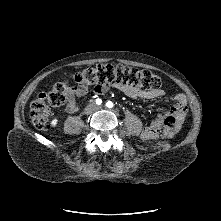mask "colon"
<instances>
[{
  "label": "colon",
  "instance_id": "obj_1",
  "mask_svg": "<svg viewBox=\"0 0 221 221\" xmlns=\"http://www.w3.org/2000/svg\"><path fill=\"white\" fill-rule=\"evenodd\" d=\"M121 83L143 91L159 90L162 80L146 69L125 65H98L75 74L70 80L56 83L49 92L40 93L30 105V118L38 129H46L49 122L50 107L63 105L74 88L95 89L101 85ZM77 86V87H75ZM176 129V118L167 116L164 120L163 137L171 139Z\"/></svg>",
  "mask_w": 221,
  "mask_h": 221
}]
</instances>
